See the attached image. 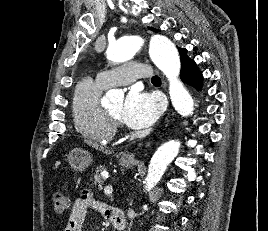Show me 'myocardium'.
I'll return each mask as SVG.
<instances>
[{
  "label": "myocardium",
  "mask_w": 268,
  "mask_h": 231,
  "mask_svg": "<svg viewBox=\"0 0 268 231\" xmlns=\"http://www.w3.org/2000/svg\"><path fill=\"white\" fill-rule=\"evenodd\" d=\"M106 113L110 119V121L112 122V124L114 125L115 128H122L123 127V123L121 121L120 118L114 116L110 111L106 110Z\"/></svg>",
  "instance_id": "f54148a6"
}]
</instances>
